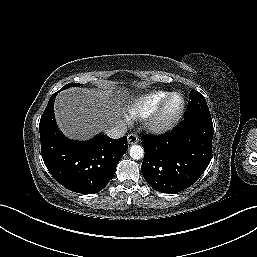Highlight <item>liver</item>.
<instances>
[{"instance_id": "6515ba94", "label": "liver", "mask_w": 257, "mask_h": 257, "mask_svg": "<svg viewBox=\"0 0 257 257\" xmlns=\"http://www.w3.org/2000/svg\"><path fill=\"white\" fill-rule=\"evenodd\" d=\"M103 90L70 88L58 94L55 100V118L65 136L86 140L121 122V106L127 89L116 88L114 82H105ZM117 97H113L114 93Z\"/></svg>"}]
</instances>
